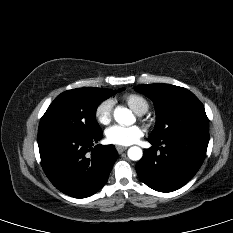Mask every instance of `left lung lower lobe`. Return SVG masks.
<instances>
[{"mask_svg":"<svg viewBox=\"0 0 233 233\" xmlns=\"http://www.w3.org/2000/svg\"><path fill=\"white\" fill-rule=\"evenodd\" d=\"M148 141L153 146L144 151L136 164L137 174L152 189L171 192L188 183L201 167L209 133L188 132Z\"/></svg>","mask_w":233,"mask_h":233,"instance_id":"obj_1","label":"left lung lower lobe"}]
</instances>
